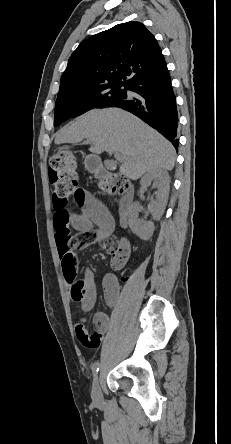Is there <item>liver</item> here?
<instances>
[{
    "label": "liver",
    "instance_id": "6515ba94",
    "mask_svg": "<svg viewBox=\"0 0 231 444\" xmlns=\"http://www.w3.org/2000/svg\"><path fill=\"white\" fill-rule=\"evenodd\" d=\"M83 139L93 143L89 148L93 154L119 153L120 173L132 180L156 169L172 170L175 164L173 145L136 116L119 108L88 111L55 135L56 144H78Z\"/></svg>",
    "mask_w": 231,
    "mask_h": 444
}]
</instances>
